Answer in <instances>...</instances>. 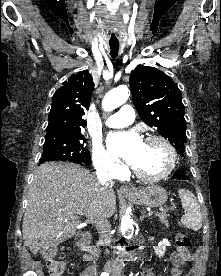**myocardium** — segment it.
<instances>
[{
	"label": "myocardium",
	"mask_w": 221,
	"mask_h": 276,
	"mask_svg": "<svg viewBox=\"0 0 221 276\" xmlns=\"http://www.w3.org/2000/svg\"><path fill=\"white\" fill-rule=\"evenodd\" d=\"M145 142H159L160 144L163 145V147L165 148L166 152H167V156H168V161H167V165L165 167V169L163 171H161L160 173L157 174H145L143 172H141L140 170H138L136 167H133V171L135 173V175L146 182H156V181H160L166 177H168L174 170L176 163H177V154H176V150L173 147V145L171 144V142L161 136V135H149L148 137H146Z\"/></svg>",
	"instance_id": "f54148a6"
}]
</instances>
